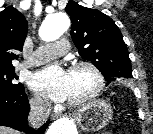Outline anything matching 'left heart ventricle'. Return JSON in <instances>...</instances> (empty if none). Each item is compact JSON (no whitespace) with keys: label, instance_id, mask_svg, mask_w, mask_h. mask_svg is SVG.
<instances>
[{"label":"left heart ventricle","instance_id":"obj_1","mask_svg":"<svg viewBox=\"0 0 153 134\" xmlns=\"http://www.w3.org/2000/svg\"><path fill=\"white\" fill-rule=\"evenodd\" d=\"M95 85L93 74L85 68L69 72L68 100H77L88 94Z\"/></svg>","mask_w":153,"mask_h":134}]
</instances>
